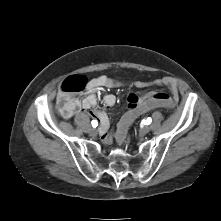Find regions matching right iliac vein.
<instances>
[{"instance_id": "1", "label": "right iliac vein", "mask_w": 221, "mask_h": 221, "mask_svg": "<svg viewBox=\"0 0 221 221\" xmlns=\"http://www.w3.org/2000/svg\"><path fill=\"white\" fill-rule=\"evenodd\" d=\"M89 133H90L91 135H96V134H97V129H95V128H90V129H89Z\"/></svg>"}]
</instances>
